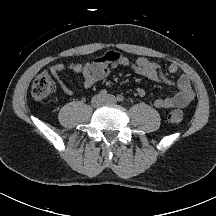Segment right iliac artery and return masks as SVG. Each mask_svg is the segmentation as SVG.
Returning a JSON list of instances; mask_svg holds the SVG:
<instances>
[{"instance_id":"obj_1","label":"right iliac artery","mask_w":216,"mask_h":216,"mask_svg":"<svg viewBox=\"0 0 216 216\" xmlns=\"http://www.w3.org/2000/svg\"><path fill=\"white\" fill-rule=\"evenodd\" d=\"M99 94L103 97L107 96V91L105 89L101 90Z\"/></svg>"}]
</instances>
